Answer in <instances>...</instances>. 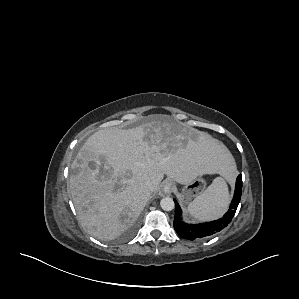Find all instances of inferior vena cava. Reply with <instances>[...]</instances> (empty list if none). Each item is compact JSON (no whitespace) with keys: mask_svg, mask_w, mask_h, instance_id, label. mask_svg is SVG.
<instances>
[{"mask_svg":"<svg viewBox=\"0 0 299 299\" xmlns=\"http://www.w3.org/2000/svg\"><path fill=\"white\" fill-rule=\"evenodd\" d=\"M146 187H147L148 190H151V189H152V185H151V183H150V182H147V183H146Z\"/></svg>","mask_w":299,"mask_h":299,"instance_id":"inferior-vena-cava-1","label":"inferior vena cava"}]
</instances>
